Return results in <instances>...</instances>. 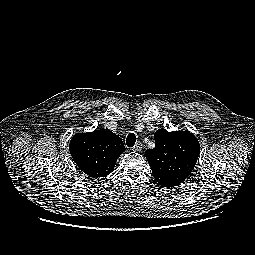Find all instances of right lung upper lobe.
<instances>
[{
  "mask_svg": "<svg viewBox=\"0 0 255 255\" xmlns=\"http://www.w3.org/2000/svg\"><path fill=\"white\" fill-rule=\"evenodd\" d=\"M70 154L81 171L98 178L110 174L122 152V140L108 129L75 134L69 144Z\"/></svg>",
  "mask_w": 255,
  "mask_h": 255,
  "instance_id": "right-lung-upper-lobe-1",
  "label": "right lung upper lobe"
}]
</instances>
